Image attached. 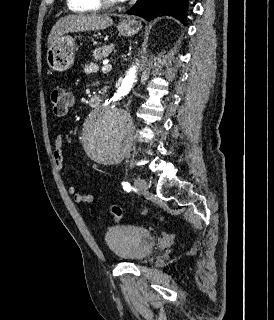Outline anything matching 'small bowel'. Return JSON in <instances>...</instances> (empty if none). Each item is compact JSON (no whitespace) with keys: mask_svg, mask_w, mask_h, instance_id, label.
Listing matches in <instances>:
<instances>
[{"mask_svg":"<svg viewBox=\"0 0 274 320\" xmlns=\"http://www.w3.org/2000/svg\"><path fill=\"white\" fill-rule=\"evenodd\" d=\"M94 67L90 66L88 71L93 70ZM64 137L61 132L57 133L54 141L53 148V161L56 168L60 171H63L64 166ZM67 192L73 196L75 202L77 203H91L95 199V195L92 193H82L77 190V185L74 182H71L67 187Z\"/></svg>","mask_w":274,"mask_h":320,"instance_id":"obj_1","label":"small bowel"}]
</instances>
